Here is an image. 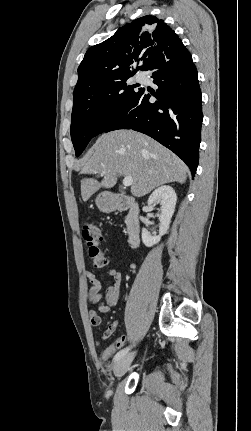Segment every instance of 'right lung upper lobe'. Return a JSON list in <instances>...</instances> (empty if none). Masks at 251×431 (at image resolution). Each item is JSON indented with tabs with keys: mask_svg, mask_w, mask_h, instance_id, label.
<instances>
[{
	"mask_svg": "<svg viewBox=\"0 0 251 431\" xmlns=\"http://www.w3.org/2000/svg\"><path fill=\"white\" fill-rule=\"evenodd\" d=\"M183 45L163 20L146 15L119 28L106 41L88 49L78 67L74 95L119 80L149 65L166 50ZM142 62L136 70V62Z\"/></svg>",
	"mask_w": 251,
	"mask_h": 431,
	"instance_id": "1",
	"label": "right lung upper lobe"
}]
</instances>
